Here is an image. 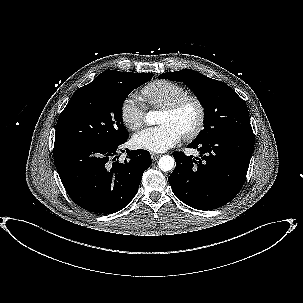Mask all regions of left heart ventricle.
I'll return each mask as SVG.
<instances>
[{
    "mask_svg": "<svg viewBox=\"0 0 303 303\" xmlns=\"http://www.w3.org/2000/svg\"><path fill=\"white\" fill-rule=\"evenodd\" d=\"M196 119V106L192 102H187L175 113L161 111L158 123L160 125L170 123L183 134L194 126Z\"/></svg>",
    "mask_w": 303,
    "mask_h": 303,
    "instance_id": "b2bd125f",
    "label": "left heart ventricle"
}]
</instances>
